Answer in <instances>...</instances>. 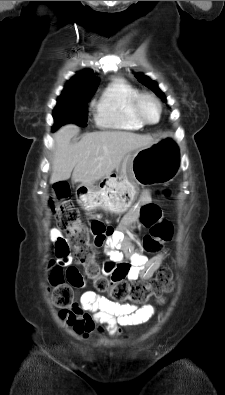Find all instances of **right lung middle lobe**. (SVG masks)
Returning a JSON list of instances; mask_svg holds the SVG:
<instances>
[{"instance_id": "obj_1", "label": "right lung middle lobe", "mask_w": 225, "mask_h": 395, "mask_svg": "<svg viewBox=\"0 0 225 395\" xmlns=\"http://www.w3.org/2000/svg\"><path fill=\"white\" fill-rule=\"evenodd\" d=\"M93 93H66L58 97L57 105L53 111L54 126L56 130L66 123H75L87 126L86 104Z\"/></svg>"}]
</instances>
